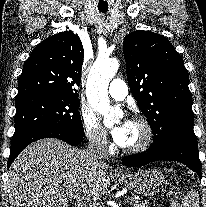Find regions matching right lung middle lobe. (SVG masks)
Instances as JSON below:
<instances>
[{
  "instance_id": "1",
  "label": "right lung middle lobe",
  "mask_w": 206,
  "mask_h": 207,
  "mask_svg": "<svg viewBox=\"0 0 206 207\" xmlns=\"http://www.w3.org/2000/svg\"><path fill=\"white\" fill-rule=\"evenodd\" d=\"M78 97L34 95L16 100L12 142L39 130L57 129L84 136Z\"/></svg>"
}]
</instances>
